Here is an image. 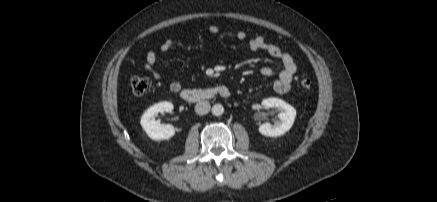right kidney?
I'll return each mask as SVG.
<instances>
[{
  "label": "right kidney",
  "instance_id": "ca27d5eb",
  "mask_svg": "<svg viewBox=\"0 0 437 202\" xmlns=\"http://www.w3.org/2000/svg\"><path fill=\"white\" fill-rule=\"evenodd\" d=\"M173 110V104L171 102H159L150 108H148L141 117L140 124L146 134L156 141L168 140L175 134V128L170 125L160 124L155 120L158 113L171 112Z\"/></svg>",
  "mask_w": 437,
  "mask_h": 202
}]
</instances>
